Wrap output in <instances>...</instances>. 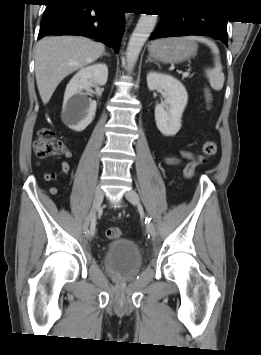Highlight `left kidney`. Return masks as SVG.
Returning <instances> with one entry per match:
<instances>
[{
    "label": "left kidney",
    "mask_w": 261,
    "mask_h": 355,
    "mask_svg": "<svg viewBox=\"0 0 261 355\" xmlns=\"http://www.w3.org/2000/svg\"><path fill=\"white\" fill-rule=\"evenodd\" d=\"M150 91L162 89L165 101L155 108L158 130L165 136H174L181 128V118L188 102V94L183 84L174 77L157 72L147 74Z\"/></svg>",
    "instance_id": "left-kidney-1"
}]
</instances>
